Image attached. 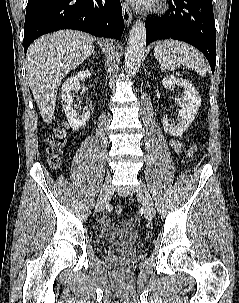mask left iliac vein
<instances>
[{
  "label": "left iliac vein",
  "mask_w": 239,
  "mask_h": 303,
  "mask_svg": "<svg viewBox=\"0 0 239 303\" xmlns=\"http://www.w3.org/2000/svg\"><path fill=\"white\" fill-rule=\"evenodd\" d=\"M136 195L142 202L144 212H145V217L148 220H151L154 217V213H155L154 203H153V200L149 193L148 188L142 181H139V184L136 189Z\"/></svg>",
  "instance_id": "1"
}]
</instances>
